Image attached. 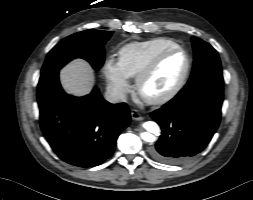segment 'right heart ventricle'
<instances>
[{
	"label": "right heart ventricle",
	"instance_id": "right-heart-ventricle-1",
	"mask_svg": "<svg viewBox=\"0 0 253 200\" xmlns=\"http://www.w3.org/2000/svg\"><path fill=\"white\" fill-rule=\"evenodd\" d=\"M176 46L177 43L167 38L131 42L119 50L118 61L128 77H135L158 53Z\"/></svg>",
	"mask_w": 253,
	"mask_h": 200
}]
</instances>
